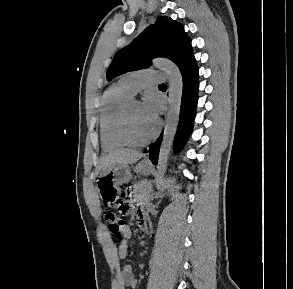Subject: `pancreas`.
Segmentation results:
<instances>
[{
  "mask_svg": "<svg viewBox=\"0 0 293 289\" xmlns=\"http://www.w3.org/2000/svg\"><path fill=\"white\" fill-rule=\"evenodd\" d=\"M151 188L147 181L143 180L133 185V196L135 199L147 202L151 198Z\"/></svg>",
  "mask_w": 293,
  "mask_h": 289,
  "instance_id": "obj_1",
  "label": "pancreas"
}]
</instances>
